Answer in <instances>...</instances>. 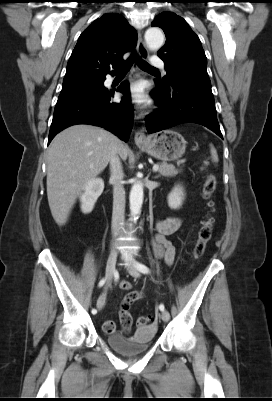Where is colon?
<instances>
[{"label": "colon", "mask_w": 272, "mask_h": 401, "mask_svg": "<svg viewBox=\"0 0 272 401\" xmlns=\"http://www.w3.org/2000/svg\"><path fill=\"white\" fill-rule=\"evenodd\" d=\"M216 178L212 174H208L204 180L202 188V196L206 201L209 212L204 217L198 233V240L194 248V257L200 258L205 250L206 244L212 237V232L215 224V218L212 214L214 203L212 201L213 193L216 189ZM152 318L149 316H141L136 320L139 327L148 326Z\"/></svg>", "instance_id": "1"}]
</instances>
